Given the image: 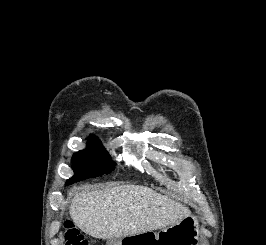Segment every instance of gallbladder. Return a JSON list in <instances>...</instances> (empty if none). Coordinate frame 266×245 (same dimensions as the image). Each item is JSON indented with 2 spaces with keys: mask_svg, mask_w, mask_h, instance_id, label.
<instances>
[{
  "mask_svg": "<svg viewBox=\"0 0 266 245\" xmlns=\"http://www.w3.org/2000/svg\"><path fill=\"white\" fill-rule=\"evenodd\" d=\"M107 245H117L116 239H107Z\"/></svg>",
  "mask_w": 266,
  "mask_h": 245,
  "instance_id": "bac80fb5",
  "label": "gallbladder"
}]
</instances>
